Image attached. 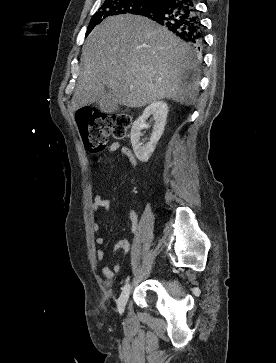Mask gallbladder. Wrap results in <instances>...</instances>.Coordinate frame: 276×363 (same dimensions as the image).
<instances>
[{
	"instance_id": "obj_1",
	"label": "gallbladder",
	"mask_w": 276,
	"mask_h": 363,
	"mask_svg": "<svg viewBox=\"0 0 276 363\" xmlns=\"http://www.w3.org/2000/svg\"><path fill=\"white\" fill-rule=\"evenodd\" d=\"M100 110L105 113H113L119 109L118 103L115 101L114 96L110 90H105L104 95L98 101Z\"/></svg>"
}]
</instances>
